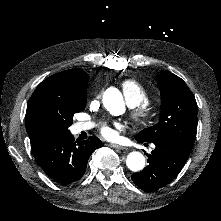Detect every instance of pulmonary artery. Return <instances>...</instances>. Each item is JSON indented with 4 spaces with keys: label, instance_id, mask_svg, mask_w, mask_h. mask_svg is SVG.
Listing matches in <instances>:
<instances>
[{
    "label": "pulmonary artery",
    "instance_id": "1",
    "mask_svg": "<svg viewBox=\"0 0 221 221\" xmlns=\"http://www.w3.org/2000/svg\"><path fill=\"white\" fill-rule=\"evenodd\" d=\"M127 105L129 109H136L140 106V93L136 88V81L135 80H128L127 81ZM93 126V123H80L79 129L80 130H88Z\"/></svg>",
    "mask_w": 221,
    "mask_h": 221
}]
</instances>
